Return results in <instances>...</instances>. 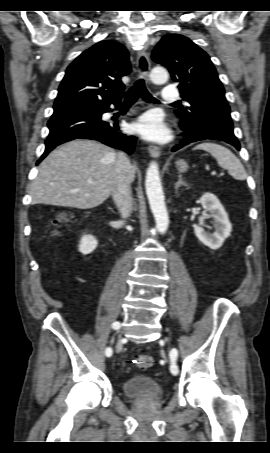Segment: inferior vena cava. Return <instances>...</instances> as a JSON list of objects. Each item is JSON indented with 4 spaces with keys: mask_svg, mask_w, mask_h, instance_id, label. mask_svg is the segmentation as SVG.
Masks as SVG:
<instances>
[{
    "mask_svg": "<svg viewBox=\"0 0 270 453\" xmlns=\"http://www.w3.org/2000/svg\"><path fill=\"white\" fill-rule=\"evenodd\" d=\"M132 166L127 156L119 152L114 160V182L112 187L113 200L123 218H128L132 212V192L130 187V170Z\"/></svg>",
    "mask_w": 270,
    "mask_h": 453,
    "instance_id": "inferior-vena-cava-1",
    "label": "inferior vena cava"
}]
</instances>
